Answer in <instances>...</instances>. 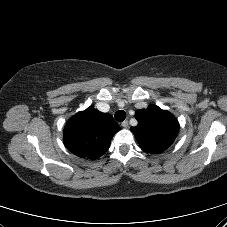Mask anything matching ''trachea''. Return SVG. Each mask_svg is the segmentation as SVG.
Wrapping results in <instances>:
<instances>
[{
  "label": "trachea",
  "mask_w": 227,
  "mask_h": 227,
  "mask_svg": "<svg viewBox=\"0 0 227 227\" xmlns=\"http://www.w3.org/2000/svg\"><path fill=\"white\" fill-rule=\"evenodd\" d=\"M114 117L118 122H122L126 118V113L123 110H119L115 113Z\"/></svg>",
  "instance_id": "3493384b"
}]
</instances>
